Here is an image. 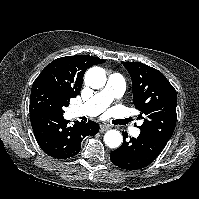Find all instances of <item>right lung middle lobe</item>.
<instances>
[{"label":"right lung middle lobe","mask_w":199,"mask_h":199,"mask_svg":"<svg viewBox=\"0 0 199 199\" xmlns=\"http://www.w3.org/2000/svg\"><path fill=\"white\" fill-rule=\"evenodd\" d=\"M68 104V100L64 99L53 90H31L30 114L36 112H48L63 116V107H67Z\"/></svg>","instance_id":"obj_1"}]
</instances>
